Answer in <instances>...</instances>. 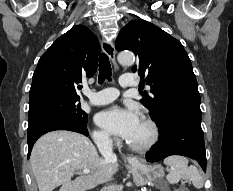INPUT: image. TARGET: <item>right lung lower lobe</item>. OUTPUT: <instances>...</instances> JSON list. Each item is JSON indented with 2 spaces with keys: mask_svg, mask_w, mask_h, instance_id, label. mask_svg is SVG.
<instances>
[{
  "mask_svg": "<svg viewBox=\"0 0 233 191\" xmlns=\"http://www.w3.org/2000/svg\"><path fill=\"white\" fill-rule=\"evenodd\" d=\"M54 130H69L88 136L86 125L60 116H40L34 121L30 122L28 125V159L31 154L33 144L36 142V140L43 134Z\"/></svg>",
  "mask_w": 233,
  "mask_h": 191,
  "instance_id": "1",
  "label": "right lung lower lobe"
}]
</instances>
